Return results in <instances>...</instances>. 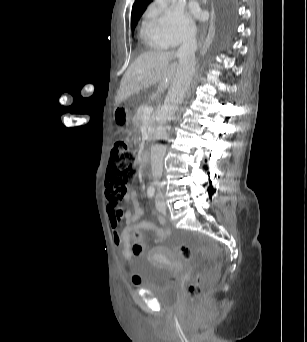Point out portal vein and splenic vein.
<instances>
[{"label": "portal vein and splenic vein", "instance_id": "18ae733b", "mask_svg": "<svg viewBox=\"0 0 307 342\" xmlns=\"http://www.w3.org/2000/svg\"><path fill=\"white\" fill-rule=\"evenodd\" d=\"M147 109H148L149 112H145V113L143 114V117H144L145 119H148V118L150 117V115H151V112H154L156 108H155L154 105H149Z\"/></svg>", "mask_w": 307, "mask_h": 342}]
</instances>
